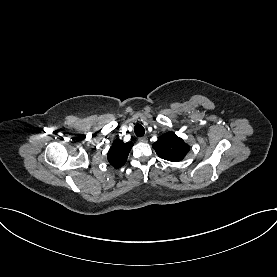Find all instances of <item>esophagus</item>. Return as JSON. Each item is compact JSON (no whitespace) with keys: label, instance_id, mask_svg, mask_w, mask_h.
Returning a JSON list of instances; mask_svg holds the SVG:
<instances>
[{"label":"esophagus","instance_id":"1","mask_svg":"<svg viewBox=\"0 0 277 277\" xmlns=\"http://www.w3.org/2000/svg\"><path fill=\"white\" fill-rule=\"evenodd\" d=\"M138 141H139V142H142V143H146V142H148V138H147L146 136L139 137V138H138Z\"/></svg>","mask_w":277,"mask_h":277}]
</instances>
